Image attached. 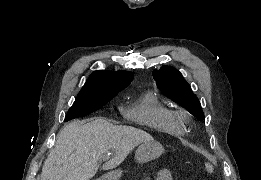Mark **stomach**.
Here are the masks:
<instances>
[{"instance_id": "stomach-1", "label": "stomach", "mask_w": 261, "mask_h": 180, "mask_svg": "<svg viewBox=\"0 0 261 180\" xmlns=\"http://www.w3.org/2000/svg\"><path fill=\"white\" fill-rule=\"evenodd\" d=\"M164 152L163 146L155 140L143 142L135 153V160L138 163H146L157 159ZM122 170L111 171L97 180H119Z\"/></svg>"}]
</instances>
